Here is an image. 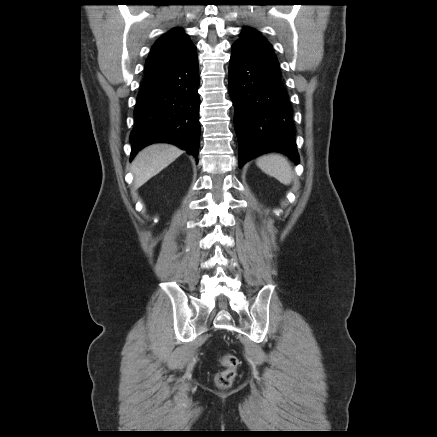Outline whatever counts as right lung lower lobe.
Returning <instances> with one entry per match:
<instances>
[{"label": "right lung lower lobe", "mask_w": 437, "mask_h": 437, "mask_svg": "<svg viewBox=\"0 0 437 437\" xmlns=\"http://www.w3.org/2000/svg\"><path fill=\"white\" fill-rule=\"evenodd\" d=\"M199 69L188 60L145 77L134 109L131 159L148 144L167 142L193 155L198 163L200 123Z\"/></svg>", "instance_id": "obj_1"}]
</instances>
